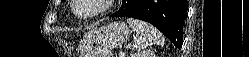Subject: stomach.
I'll return each instance as SVG.
<instances>
[{
  "label": "stomach",
  "mask_w": 249,
  "mask_h": 57,
  "mask_svg": "<svg viewBox=\"0 0 249 57\" xmlns=\"http://www.w3.org/2000/svg\"><path fill=\"white\" fill-rule=\"evenodd\" d=\"M131 34L129 26L123 21H115L92 30L82 40L83 57H111L112 50L125 43Z\"/></svg>",
  "instance_id": "obj_1"
}]
</instances>
